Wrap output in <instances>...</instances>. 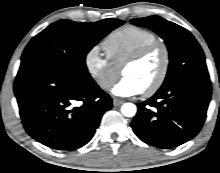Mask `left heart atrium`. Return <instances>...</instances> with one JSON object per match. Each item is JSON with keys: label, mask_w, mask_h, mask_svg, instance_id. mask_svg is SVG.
Segmentation results:
<instances>
[{"label": "left heart atrium", "mask_w": 220, "mask_h": 173, "mask_svg": "<svg viewBox=\"0 0 220 173\" xmlns=\"http://www.w3.org/2000/svg\"><path fill=\"white\" fill-rule=\"evenodd\" d=\"M142 87L136 80L131 77L124 76L112 88V93L119 97H130L141 94Z\"/></svg>", "instance_id": "obj_1"}]
</instances>
